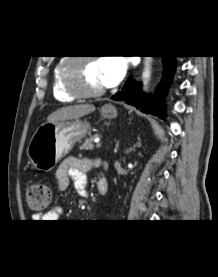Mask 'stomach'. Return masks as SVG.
<instances>
[{"label":"stomach","mask_w":218,"mask_h":277,"mask_svg":"<svg viewBox=\"0 0 218 277\" xmlns=\"http://www.w3.org/2000/svg\"><path fill=\"white\" fill-rule=\"evenodd\" d=\"M101 116L112 119L117 116L116 108L106 104L100 109ZM91 127L86 120L74 119L46 122L33 134L27 156L34 168L41 171L52 170L59 160L89 133Z\"/></svg>","instance_id":"stomach-1"}]
</instances>
